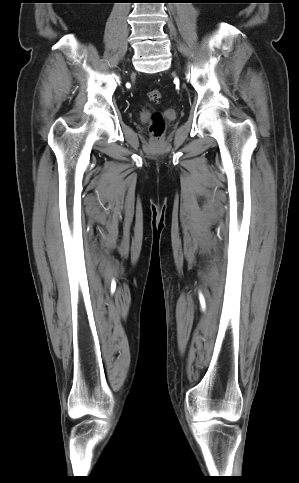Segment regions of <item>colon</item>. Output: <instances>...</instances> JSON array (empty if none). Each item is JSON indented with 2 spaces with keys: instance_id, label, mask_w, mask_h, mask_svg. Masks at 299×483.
Returning <instances> with one entry per match:
<instances>
[{
  "instance_id": "obj_1",
  "label": "colon",
  "mask_w": 299,
  "mask_h": 483,
  "mask_svg": "<svg viewBox=\"0 0 299 483\" xmlns=\"http://www.w3.org/2000/svg\"><path fill=\"white\" fill-rule=\"evenodd\" d=\"M162 97L161 91L153 89L148 93V98L151 102L158 103ZM150 133L154 138H160L165 130V123L163 118L159 114H155L152 117V121L149 127Z\"/></svg>"
}]
</instances>
